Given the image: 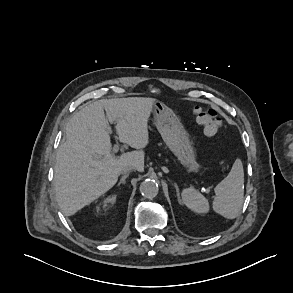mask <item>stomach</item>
I'll return each mask as SVG.
<instances>
[{"label":"stomach","instance_id":"1","mask_svg":"<svg viewBox=\"0 0 293 293\" xmlns=\"http://www.w3.org/2000/svg\"><path fill=\"white\" fill-rule=\"evenodd\" d=\"M156 126L164 142L187 172H197L199 164L189 135L174 112L164 103L156 101L153 106Z\"/></svg>","mask_w":293,"mask_h":293}]
</instances>
